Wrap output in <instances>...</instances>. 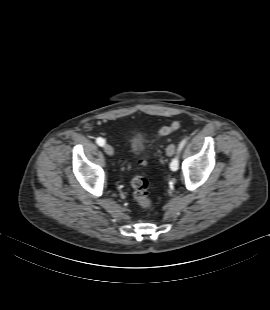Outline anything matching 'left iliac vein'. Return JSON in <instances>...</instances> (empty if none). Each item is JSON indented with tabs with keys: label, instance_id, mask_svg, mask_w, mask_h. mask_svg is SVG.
<instances>
[{
	"label": "left iliac vein",
	"instance_id": "left-iliac-vein-1",
	"mask_svg": "<svg viewBox=\"0 0 270 310\" xmlns=\"http://www.w3.org/2000/svg\"><path fill=\"white\" fill-rule=\"evenodd\" d=\"M174 151H175V144H170L166 149V154L168 156H172L174 154Z\"/></svg>",
	"mask_w": 270,
	"mask_h": 310
}]
</instances>
